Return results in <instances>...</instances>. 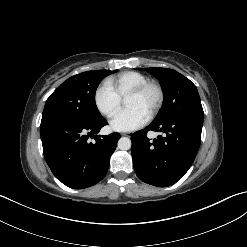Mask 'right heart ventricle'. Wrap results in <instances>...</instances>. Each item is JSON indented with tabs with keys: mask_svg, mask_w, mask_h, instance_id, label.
I'll return each mask as SVG.
<instances>
[{
	"mask_svg": "<svg viewBox=\"0 0 247 247\" xmlns=\"http://www.w3.org/2000/svg\"><path fill=\"white\" fill-rule=\"evenodd\" d=\"M147 80L148 78L140 72L127 71L108 80L107 84L120 99H123L129 91Z\"/></svg>",
	"mask_w": 247,
	"mask_h": 247,
	"instance_id": "e07e8e85",
	"label": "right heart ventricle"
}]
</instances>
